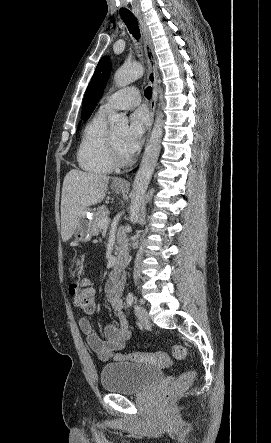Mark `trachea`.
<instances>
[{
  "mask_svg": "<svg viewBox=\"0 0 271 443\" xmlns=\"http://www.w3.org/2000/svg\"><path fill=\"white\" fill-rule=\"evenodd\" d=\"M122 8L119 10V17L122 18L125 25L127 26L129 32L138 40L140 38V31L138 27V23L134 15H132V11L129 6H127V2H122ZM145 97L150 99L152 96V88L147 87L145 89Z\"/></svg>",
  "mask_w": 271,
  "mask_h": 443,
  "instance_id": "obj_1",
  "label": "trachea"
}]
</instances>
